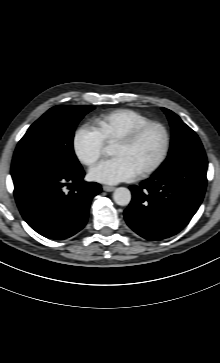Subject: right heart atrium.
<instances>
[{
    "instance_id": "d8ad5b80",
    "label": "right heart atrium",
    "mask_w": 220,
    "mask_h": 363,
    "mask_svg": "<svg viewBox=\"0 0 220 363\" xmlns=\"http://www.w3.org/2000/svg\"><path fill=\"white\" fill-rule=\"evenodd\" d=\"M72 148L79 162L91 166L101 157L104 140L95 128L81 124L74 130Z\"/></svg>"
}]
</instances>
